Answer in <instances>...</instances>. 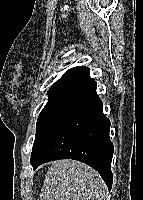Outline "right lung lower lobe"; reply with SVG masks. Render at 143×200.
<instances>
[{
	"label": "right lung lower lobe",
	"mask_w": 143,
	"mask_h": 200,
	"mask_svg": "<svg viewBox=\"0 0 143 200\" xmlns=\"http://www.w3.org/2000/svg\"><path fill=\"white\" fill-rule=\"evenodd\" d=\"M97 83L84 68L49 95L39 115L30 163L33 168L58 159H75L99 172L109 190L113 176L110 121L96 94Z\"/></svg>",
	"instance_id": "right-lung-lower-lobe-1"
}]
</instances>
